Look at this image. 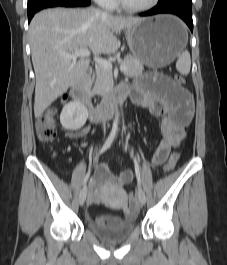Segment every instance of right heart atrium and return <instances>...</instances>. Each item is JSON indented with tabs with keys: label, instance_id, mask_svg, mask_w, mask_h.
Wrapping results in <instances>:
<instances>
[{
	"label": "right heart atrium",
	"instance_id": "right-heart-atrium-1",
	"mask_svg": "<svg viewBox=\"0 0 227 265\" xmlns=\"http://www.w3.org/2000/svg\"><path fill=\"white\" fill-rule=\"evenodd\" d=\"M98 5L104 8H112L115 4V0H94Z\"/></svg>",
	"mask_w": 227,
	"mask_h": 265
}]
</instances>
